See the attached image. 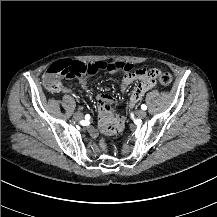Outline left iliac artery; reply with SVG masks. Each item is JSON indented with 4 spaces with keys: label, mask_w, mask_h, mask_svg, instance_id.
<instances>
[{
    "label": "left iliac artery",
    "mask_w": 217,
    "mask_h": 217,
    "mask_svg": "<svg viewBox=\"0 0 217 217\" xmlns=\"http://www.w3.org/2000/svg\"><path fill=\"white\" fill-rule=\"evenodd\" d=\"M141 109H142V110H146V109H147V106H146L145 104H142V105H141Z\"/></svg>",
    "instance_id": "left-iliac-artery-1"
}]
</instances>
